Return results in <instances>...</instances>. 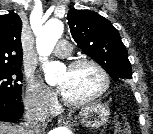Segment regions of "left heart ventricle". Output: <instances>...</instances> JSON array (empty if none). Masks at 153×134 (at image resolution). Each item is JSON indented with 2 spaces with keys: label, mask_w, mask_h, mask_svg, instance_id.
Here are the masks:
<instances>
[{
  "label": "left heart ventricle",
  "mask_w": 153,
  "mask_h": 134,
  "mask_svg": "<svg viewBox=\"0 0 153 134\" xmlns=\"http://www.w3.org/2000/svg\"><path fill=\"white\" fill-rule=\"evenodd\" d=\"M57 84L66 98L80 100L97 92L102 86V78L93 66L85 64L63 71Z\"/></svg>",
  "instance_id": "1"
}]
</instances>
